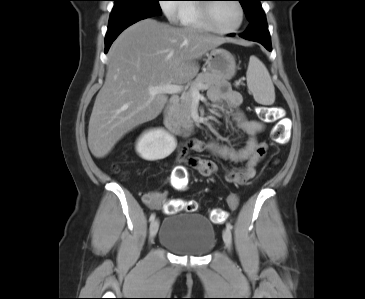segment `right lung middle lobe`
<instances>
[{"label": "right lung middle lobe", "mask_w": 365, "mask_h": 299, "mask_svg": "<svg viewBox=\"0 0 365 299\" xmlns=\"http://www.w3.org/2000/svg\"><path fill=\"white\" fill-rule=\"evenodd\" d=\"M115 1L110 19L136 13H161L160 0H113Z\"/></svg>", "instance_id": "dd1d6c3e"}]
</instances>
